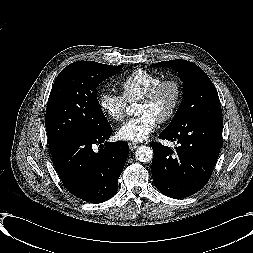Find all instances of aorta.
<instances>
[{
  "label": "aorta",
  "instance_id": "1",
  "mask_svg": "<svg viewBox=\"0 0 253 253\" xmlns=\"http://www.w3.org/2000/svg\"><path fill=\"white\" fill-rule=\"evenodd\" d=\"M135 157L138 161L148 163L153 159V150L148 146H140L136 152Z\"/></svg>",
  "mask_w": 253,
  "mask_h": 253
}]
</instances>
